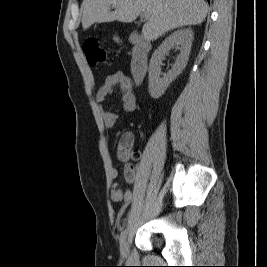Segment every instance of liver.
<instances>
[{"mask_svg": "<svg viewBox=\"0 0 267 267\" xmlns=\"http://www.w3.org/2000/svg\"><path fill=\"white\" fill-rule=\"evenodd\" d=\"M111 5L115 8L113 12ZM81 10L84 30L94 23L115 20L131 23L140 13H146L142 35L151 41L172 29L201 24L208 5L204 0H83Z\"/></svg>", "mask_w": 267, "mask_h": 267, "instance_id": "liver-1", "label": "liver"}]
</instances>
